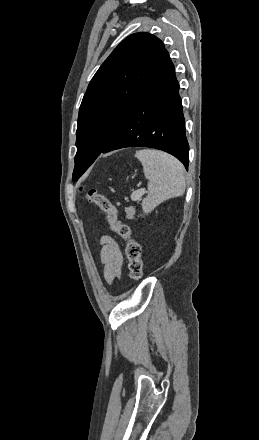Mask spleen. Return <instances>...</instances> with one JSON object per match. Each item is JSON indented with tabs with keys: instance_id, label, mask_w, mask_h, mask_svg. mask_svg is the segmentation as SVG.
<instances>
[{
	"instance_id": "3e777b00",
	"label": "spleen",
	"mask_w": 259,
	"mask_h": 440,
	"mask_svg": "<svg viewBox=\"0 0 259 440\" xmlns=\"http://www.w3.org/2000/svg\"><path fill=\"white\" fill-rule=\"evenodd\" d=\"M146 179H148V195L142 201L145 214L170 198L182 196L185 183V170L175 157L158 150L143 149L136 152Z\"/></svg>"
}]
</instances>
